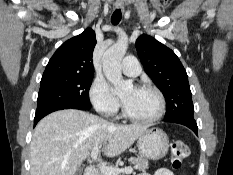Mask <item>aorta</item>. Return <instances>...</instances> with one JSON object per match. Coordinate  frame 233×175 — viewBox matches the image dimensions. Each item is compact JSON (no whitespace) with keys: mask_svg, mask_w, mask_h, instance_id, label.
<instances>
[{"mask_svg":"<svg viewBox=\"0 0 233 175\" xmlns=\"http://www.w3.org/2000/svg\"><path fill=\"white\" fill-rule=\"evenodd\" d=\"M126 41H119L111 46L103 55V72L107 80L111 82L116 91L121 92L132 88L130 80L122 77L121 61L127 51Z\"/></svg>","mask_w":233,"mask_h":175,"instance_id":"1","label":"aorta"}]
</instances>
